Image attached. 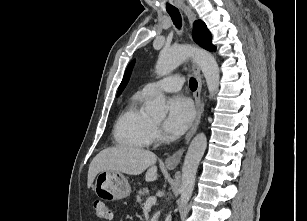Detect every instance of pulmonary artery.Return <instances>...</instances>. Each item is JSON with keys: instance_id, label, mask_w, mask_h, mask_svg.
Instances as JSON below:
<instances>
[{"instance_id": "1", "label": "pulmonary artery", "mask_w": 307, "mask_h": 221, "mask_svg": "<svg viewBox=\"0 0 307 221\" xmlns=\"http://www.w3.org/2000/svg\"><path fill=\"white\" fill-rule=\"evenodd\" d=\"M183 84V77L181 75H174L157 82L146 84L143 92L148 95H154L159 92H176L182 88Z\"/></svg>"}]
</instances>
